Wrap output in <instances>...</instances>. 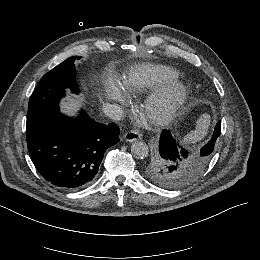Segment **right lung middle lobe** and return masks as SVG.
<instances>
[{
    "label": "right lung middle lobe",
    "instance_id": "dd1d6c3e",
    "mask_svg": "<svg viewBox=\"0 0 260 260\" xmlns=\"http://www.w3.org/2000/svg\"><path fill=\"white\" fill-rule=\"evenodd\" d=\"M80 59L73 56L46 73L36 86L28 105L26 129L53 118L59 111V100L65 95V89L78 93L75 80L74 61Z\"/></svg>",
    "mask_w": 260,
    "mask_h": 260
}]
</instances>
